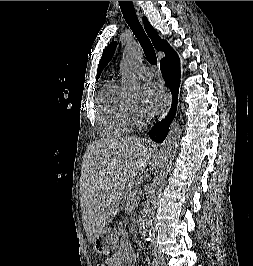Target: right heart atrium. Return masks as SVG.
<instances>
[{"mask_svg": "<svg viewBox=\"0 0 253 266\" xmlns=\"http://www.w3.org/2000/svg\"><path fill=\"white\" fill-rule=\"evenodd\" d=\"M132 114L136 124H141L146 119V116L143 111L138 108H133Z\"/></svg>", "mask_w": 253, "mask_h": 266, "instance_id": "1", "label": "right heart atrium"}]
</instances>
